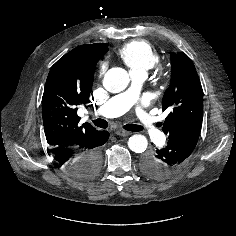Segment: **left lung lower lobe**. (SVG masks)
<instances>
[{
	"label": "left lung lower lobe",
	"instance_id": "0a47b994",
	"mask_svg": "<svg viewBox=\"0 0 236 236\" xmlns=\"http://www.w3.org/2000/svg\"><path fill=\"white\" fill-rule=\"evenodd\" d=\"M199 135L200 130H189L169 138L165 148L156 149L142 159L143 173L154 180L176 175L187 163Z\"/></svg>",
	"mask_w": 236,
	"mask_h": 236
}]
</instances>
